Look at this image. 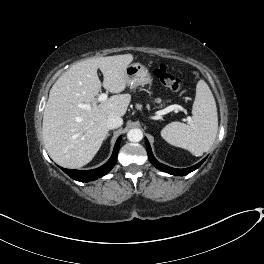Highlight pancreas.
<instances>
[{"instance_id": "cf45deb5", "label": "pancreas", "mask_w": 264, "mask_h": 264, "mask_svg": "<svg viewBox=\"0 0 264 264\" xmlns=\"http://www.w3.org/2000/svg\"><path fill=\"white\" fill-rule=\"evenodd\" d=\"M155 101H156L157 103H160V102H161V100H160V99H156Z\"/></svg>"}]
</instances>
